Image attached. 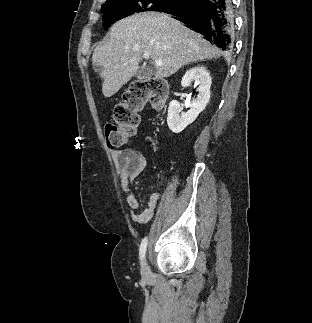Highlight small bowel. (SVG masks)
Listing matches in <instances>:
<instances>
[{
	"label": "small bowel",
	"instance_id": "small-bowel-1",
	"mask_svg": "<svg viewBox=\"0 0 312 323\" xmlns=\"http://www.w3.org/2000/svg\"><path fill=\"white\" fill-rule=\"evenodd\" d=\"M111 156L120 177L121 188L126 194V202L129 207L131 220L139 224L149 222L153 218L156 206L162 199L163 194L152 192L149 196L147 206L140 213H137L141 205L130 188V185L146 166L144 158L139 153L128 149H114L111 152Z\"/></svg>",
	"mask_w": 312,
	"mask_h": 323
}]
</instances>
